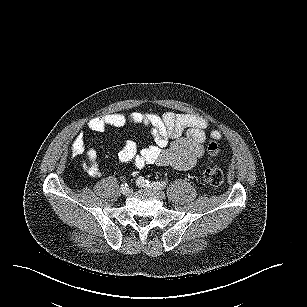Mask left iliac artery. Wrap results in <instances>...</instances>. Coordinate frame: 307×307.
<instances>
[{
    "instance_id": "obj_1",
    "label": "left iliac artery",
    "mask_w": 307,
    "mask_h": 307,
    "mask_svg": "<svg viewBox=\"0 0 307 307\" xmlns=\"http://www.w3.org/2000/svg\"><path fill=\"white\" fill-rule=\"evenodd\" d=\"M137 183L141 185L142 187L146 186V187H153L156 189H163L167 185V181H154L151 183L150 181L145 180L143 177H139L137 179Z\"/></svg>"
}]
</instances>
